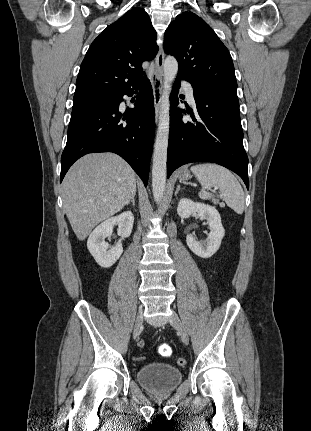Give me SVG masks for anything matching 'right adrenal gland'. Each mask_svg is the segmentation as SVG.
<instances>
[{"mask_svg": "<svg viewBox=\"0 0 311 431\" xmlns=\"http://www.w3.org/2000/svg\"><path fill=\"white\" fill-rule=\"evenodd\" d=\"M131 202H132V206H133V208H135V196H132V198H131V200H130L129 204H131ZM129 204H126V206H129Z\"/></svg>", "mask_w": 311, "mask_h": 431, "instance_id": "2a0ac1e0", "label": "right adrenal gland"}]
</instances>
